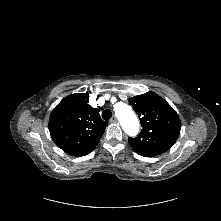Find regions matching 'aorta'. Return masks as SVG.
<instances>
[{
	"mask_svg": "<svg viewBox=\"0 0 221 221\" xmlns=\"http://www.w3.org/2000/svg\"><path fill=\"white\" fill-rule=\"evenodd\" d=\"M114 111L123 130L129 135H135L139 130V122L132 108L119 102L114 106Z\"/></svg>",
	"mask_w": 221,
	"mask_h": 221,
	"instance_id": "obj_1",
	"label": "aorta"
}]
</instances>
